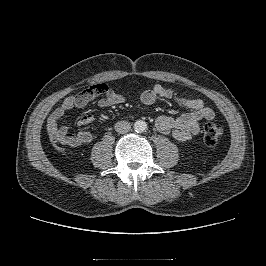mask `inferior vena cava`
Returning <instances> with one entry per match:
<instances>
[{"label": "inferior vena cava", "instance_id": "obj_1", "mask_svg": "<svg viewBox=\"0 0 266 266\" xmlns=\"http://www.w3.org/2000/svg\"><path fill=\"white\" fill-rule=\"evenodd\" d=\"M131 129V125L128 121H119L115 124V130L119 134H125L129 132Z\"/></svg>", "mask_w": 266, "mask_h": 266}]
</instances>
